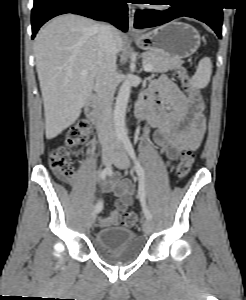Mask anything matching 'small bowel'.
Returning a JSON list of instances; mask_svg holds the SVG:
<instances>
[{"mask_svg": "<svg viewBox=\"0 0 246 300\" xmlns=\"http://www.w3.org/2000/svg\"><path fill=\"white\" fill-rule=\"evenodd\" d=\"M143 101L148 106L145 123L156 129L154 141L165 153L167 164L176 160L185 148L200 144L206 129L203 104L197 106L167 76H161L151 85ZM103 190L116 195V210L97 217L95 223L98 227H109L116 225L121 213L131 205L134 190L129 180L117 174L105 183Z\"/></svg>", "mask_w": 246, "mask_h": 300, "instance_id": "obj_1", "label": "small bowel"}]
</instances>
